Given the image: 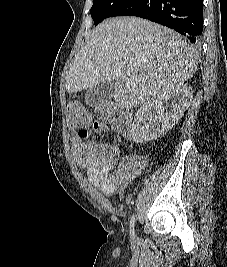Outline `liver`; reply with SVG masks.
Here are the masks:
<instances>
[{"instance_id": "liver-1", "label": "liver", "mask_w": 227, "mask_h": 267, "mask_svg": "<svg viewBox=\"0 0 227 267\" xmlns=\"http://www.w3.org/2000/svg\"><path fill=\"white\" fill-rule=\"evenodd\" d=\"M197 69V50L180 34L137 17L111 18L98 25L74 57L66 90L75 93L114 83L122 107L140 105ZM130 70L134 76L126 75Z\"/></svg>"}]
</instances>
